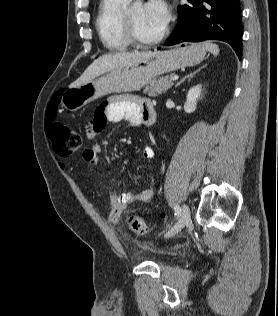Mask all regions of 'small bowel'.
<instances>
[{"mask_svg":"<svg viewBox=\"0 0 278 316\" xmlns=\"http://www.w3.org/2000/svg\"><path fill=\"white\" fill-rule=\"evenodd\" d=\"M150 107H152V104L148 99L131 95L110 97L104 104L97 108L93 120L87 126V136L92 141L106 121L120 122L125 120L132 126L141 125L144 123V114ZM101 154V146L97 143H91L83 151L82 158L90 166L97 167L100 163ZM141 156L144 160L153 159L155 156L154 149L150 146L144 147ZM123 184L124 182H121V185ZM152 196L153 189L151 186L138 194L131 192L120 193L115 189L109 196L111 207L108 217L109 223L112 225L118 224L122 212L127 207L132 204L147 203L151 200Z\"/></svg>","mask_w":278,"mask_h":316,"instance_id":"obj_1","label":"small bowel"}]
</instances>
